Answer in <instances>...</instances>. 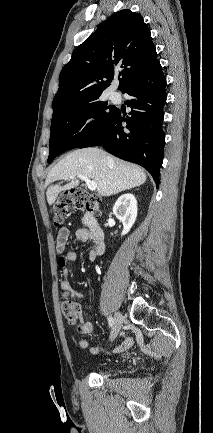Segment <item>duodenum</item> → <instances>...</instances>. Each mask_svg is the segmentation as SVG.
Here are the masks:
<instances>
[{"instance_id": "obj_1", "label": "duodenum", "mask_w": 213, "mask_h": 433, "mask_svg": "<svg viewBox=\"0 0 213 433\" xmlns=\"http://www.w3.org/2000/svg\"><path fill=\"white\" fill-rule=\"evenodd\" d=\"M88 226L92 233L94 240L98 243L104 242V232L99 226L96 218L90 213L88 217Z\"/></svg>"}]
</instances>
